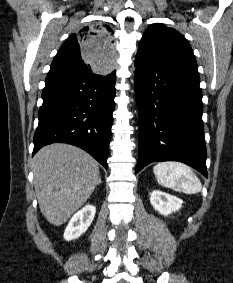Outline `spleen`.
I'll return each instance as SVG.
<instances>
[{
  "instance_id": "1",
  "label": "spleen",
  "mask_w": 233,
  "mask_h": 283,
  "mask_svg": "<svg viewBox=\"0 0 233 283\" xmlns=\"http://www.w3.org/2000/svg\"><path fill=\"white\" fill-rule=\"evenodd\" d=\"M157 182L185 194H197L202 184L190 167L179 162H161L154 166Z\"/></svg>"
}]
</instances>
